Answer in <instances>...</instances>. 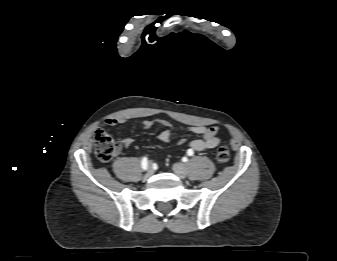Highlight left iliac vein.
Here are the masks:
<instances>
[{"instance_id": "4c4485c4", "label": "left iliac vein", "mask_w": 337, "mask_h": 261, "mask_svg": "<svg viewBox=\"0 0 337 261\" xmlns=\"http://www.w3.org/2000/svg\"><path fill=\"white\" fill-rule=\"evenodd\" d=\"M174 173L181 179H185L187 177V168L182 163H175L172 166Z\"/></svg>"}]
</instances>
